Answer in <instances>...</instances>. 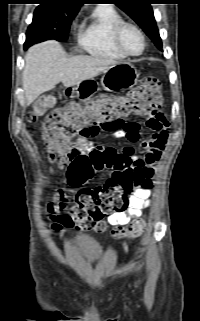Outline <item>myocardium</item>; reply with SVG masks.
<instances>
[{"mask_svg":"<svg viewBox=\"0 0 200 321\" xmlns=\"http://www.w3.org/2000/svg\"><path fill=\"white\" fill-rule=\"evenodd\" d=\"M126 28H132L134 29L140 36L141 40H142V49L140 52L138 53H131L129 51H127L125 49V47L123 46L122 44V34H123V31L126 29ZM113 41H114V44L116 46V48L122 53L124 54L125 56L127 57H137V56H140L144 53L145 51V48H146V38H145V35L143 33V31L141 30V28L132 23V22H129V21H122L121 23H119L115 29H114V32H113Z\"/></svg>","mask_w":200,"mask_h":321,"instance_id":"obj_1","label":"myocardium"}]
</instances>
